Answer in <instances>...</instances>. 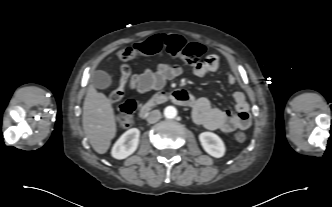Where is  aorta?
I'll use <instances>...</instances> for the list:
<instances>
[{"mask_svg": "<svg viewBox=\"0 0 332 207\" xmlns=\"http://www.w3.org/2000/svg\"><path fill=\"white\" fill-rule=\"evenodd\" d=\"M164 116L168 119H173L177 116V110L173 106H167L164 109Z\"/></svg>", "mask_w": 332, "mask_h": 207, "instance_id": "obj_1", "label": "aorta"}]
</instances>
